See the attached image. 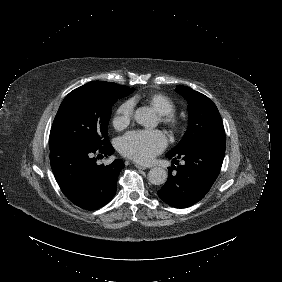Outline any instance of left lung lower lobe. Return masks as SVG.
Segmentation results:
<instances>
[{"label":"left lung lower lobe","mask_w":282,"mask_h":282,"mask_svg":"<svg viewBox=\"0 0 282 282\" xmlns=\"http://www.w3.org/2000/svg\"><path fill=\"white\" fill-rule=\"evenodd\" d=\"M226 137L197 140L178 153H167L168 158H182L185 163L168 168V180L158 196L168 205L186 208L200 201L215 182L224 158ZM172 169L177 173L172 174Z\"/></svg>","instance_id":"left-lung-lower-lobe-1"}]
</instances>
